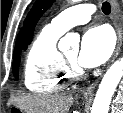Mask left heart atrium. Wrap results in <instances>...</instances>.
Listing matches in <instances>:
<instances>
[{
  "instance_id": "1",
  "label": "left heart atrium",
  "mask_w": 123,
  "mask_h": 113,
  "mask_svg": "<svg viewBox=\"0 0 123 113\" xmlns=\"http://www.w3.org/2000/svg\"><path fill=\"white\" fill-rule=\"evenodd\" d=\"M114 48L111 31L104 26L88 29L83 35L78 63L86 68H93L108 60Z\"/></svg>"
}]
</instances>
